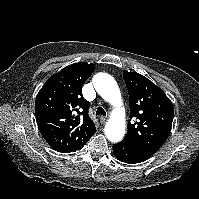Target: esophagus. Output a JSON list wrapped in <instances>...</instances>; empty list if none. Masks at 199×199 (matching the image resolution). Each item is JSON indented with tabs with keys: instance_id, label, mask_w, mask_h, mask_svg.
Wrapping results in <instances>:
<instances>
[{
	"instance_id": "1",
	"label": "esophagus",
	"mask_w": 199,
	"mask_h": 199,
	"mask_svg": "<svg viewBox=\"0 0 199 199\" xmlns=\"http://www.w3.org/2000/svg\"><path fill=\"white\" fill-rule=\"evenodd\" d=\"M107 119L105 117H100V123L105 124Z\"/></svg>"
}]
</instances>
